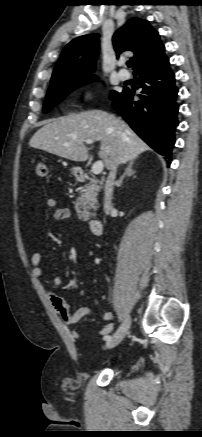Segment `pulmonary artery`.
<instances>
[{"mask_svg": "<svg viewBox=\"0 0 202 437\" xmlns=\"http://www.w3.org/2000/svg\"><path fill=\"white\" fill-rule=\"evenodd\" d=\"M118 78L125 81L129 78V73L125 69H122L118 72Z\"/></svg>", "mask_w": 202, "mask_h": 437, "instance_id": "pulmonary-artery-1", "label": "pulmonary artery"}]
</instances>
